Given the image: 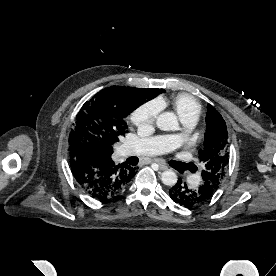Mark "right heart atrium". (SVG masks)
Instances as JSON below:
<instances>
[{
	"instance_id": "1",
	"label": "right heart atrium",
	"mask_w": 276,
	"mask_h": 276,
	"mask_svg": "<svg viewBox=\"0 0 276 276\" xmlns=\"http://www.w3.org/2000/svg\"><path fill=\"white\" fill-rule=\"evenodd\" d=\"M159 105L156 102H148L140 105L131 114L132 123L140 130H150L159 114Z\"/></svg>"
}]
</instances>
